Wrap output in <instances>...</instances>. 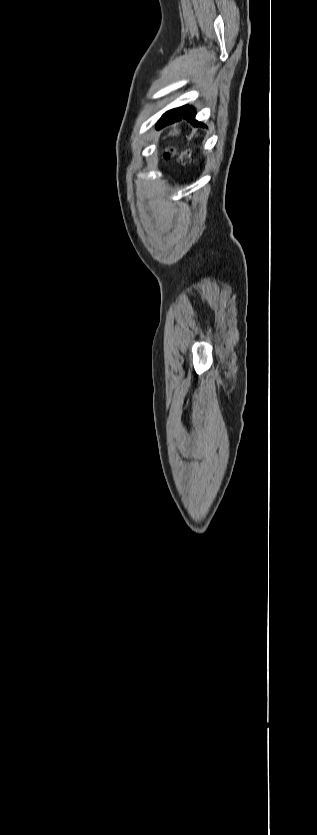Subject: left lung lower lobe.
Here are the masks:
<instances>
[{
  "instance_id": "0a47b994",
  "label": "left lung lower lobe",
  "mask_w": 317,
  "mask_h": 835,
  "mask_svg": "<svg viewBox=\"0 0 317 835\" xmlns=\"http://www.w3.org/2000/svg\"><path fill=\"white\" fill-rule=\"evenodd\" d=\"M196 111L190 106H183L165 112L156 124L157 129L171 125L180 120L186 119L193 126L205 127V124L195 120Z\"/></svg>"
}]
</instances>
